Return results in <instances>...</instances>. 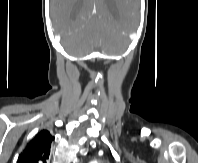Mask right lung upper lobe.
Returning a JSON list of instances; mask_svg holds the SVG:
<instances>
[{
    "instance_id": "right-lung-upper-lobe-1",
    "label": "right lung upper lobe",
    "mask_w": 198,
    "mask_h": 163,
    "mask_svg": "<svg viewBox=\"0 0 198 163\" xmlns=\"http://www.w3.org/2000/svg\"><path fill=\"white\" fill-rule=\"evenodd\" d=\"M53 140L49 131H40L20 154L17 163H46Z\"/></svg>"
}]
</instances>
